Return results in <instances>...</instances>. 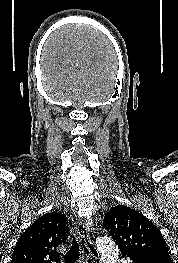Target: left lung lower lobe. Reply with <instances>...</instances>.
Masks as SVG:
<instances>
[{
    "mask_svg": "<svg viewBox=\"0 0 178 263\" xmlns=\"http://www.w3.org/2000/svg\"><path fill=\"white\" fill-rule=\"evenodd\" d=\"M134 263H173V261L164 260V259H141L135 261Z\"/></svg>",
    "mask_w": 178,
    "mask_h": 263,
    "instance_id": "0a47b994",
    "label": "left lung lower lobe"
}]
</instances>
